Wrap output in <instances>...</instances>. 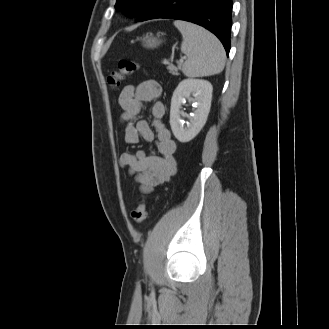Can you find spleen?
I'll use <instances>...</instances> for the list:
<instances>
[{"label": "spleen", "mask_w": 329, "mask_h": 329, "mask_svg": "<svg viewBox=\"0 0 329 329\" xmlns=\"http://www.w3.org/2000/svg\"><path fill=\"white\" fill-rule=\"evenodd\" d=\"M174 26L182 34L181 51L187 56L182 68L185 76L203 77L222 72L225 50L212 33L186 21L177 20Z\"/></svg>", "instance_id": "obj_1"}]
</instances>
